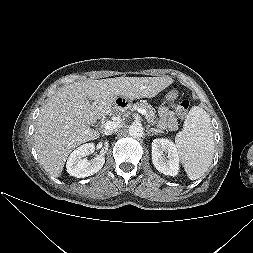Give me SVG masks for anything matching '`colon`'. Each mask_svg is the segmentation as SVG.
<instances>
[{"instance_id": "1", "label": "colon", "mask_w": 253, "mask_h": 253, "mask_svg": "<svg viewBox=\"0 0 253 253\" xmlns=\"http://www.w3.org/2000/svg\"><path fill=\"white\" fill-rule=\"evenodd\" d=\"M177 94H178V92H177V90L174 88V89H172L171 91H169V92L166 94V98L172 100V99L176 98ZM188 108H189V101H188V100H182L181 102H179V103L176 105V112H177V115H178L180 118H184V117L187 115Z\"/></svg>"}]
</instances>
